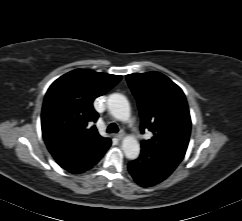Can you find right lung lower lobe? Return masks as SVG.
I'll return each mask as SVG.
<instances>
[{
    "mask_svg": "<svg viewBox=\"0 0 242 221\" xmlns=\"http://www.w3.org/2000/svg\"><path fill=\"white\" fill-rule=\"evenodd\" d=\"M99 160H100V159H99ZM99 160H98V161H99ZM98 161H97V162H98ZM97 162H96V163H97ZM96 163H95V164H96ZM95 164H94V165H95ZM92 166H93V165H92ZM67 171H69V170H67ZM69 172H70V171H69ZM71 173H73V172H71ZM74 174H75V173H74Z\"/></svg>",
    "mask_w": 242,
    "mask_h": 221,
    "instance_id": "right-lung-lower-lobe-1",
    "label": "right lung lower lobe"
}]
</instances>
